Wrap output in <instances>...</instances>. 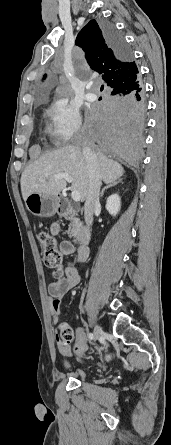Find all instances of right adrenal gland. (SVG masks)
Masks as SVG:
<instances>
[{
    "label": "right adrenal gland",
    "instance_id": "obj_1",
    "mask_svg": "<svg viewBox=\"0 0 171 445\" xmlns=\"http://www.w3.org/2000/svg\"><path fill=\"white\" fill-rule=\"evenodd\" d=\"M120 182H122L121 179H119V180H117V181H114V182L108 184L107 186H105V187L102 189V191H101L100 197H103L104 192H105L106 189L111 188V187L117 185V184L120 183Z\"/></svg>",
    "mask_w": 171,
    "mask_h": 445
}]
</instances>
